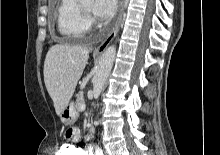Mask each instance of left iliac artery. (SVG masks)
Returning <instances> with one entry per match:
<instances>
[{"label": "left iliac artery", "instance_id": "left-iliac-artery-1", "mask_svg": "<svg viewBox=\"0 0 220 155\" xmlns=\"http://www.w3.org/2000/svg\"><path fill=\"white\" fill-rule=\"evenodd\" d=\"M95 155H103V152L100 148H98L95 152Z\"/></svg>", "mask_w": 220, "mask_h": 155}]
</instances>
